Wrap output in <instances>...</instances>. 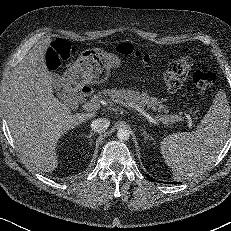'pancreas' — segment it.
I'll use <instances>...</instances> for the list:
<instances>
[{"mask_svg":"<svg viewBox=\"0 0 231 231\" xmlns=\"http://www.w3.org/2000/svg\"><path fill=\"white\" fill-rule=\"evenodd\" d=\"M98 98H104L107 101H113L125 107H139L142 110L147 108L166 112V106L157 98L150 97L147 93H140L139 91L131 89H103L98 92ZM172 117L171 115L158 116V118L166 119L167 122H170Z\"/></svg>","mask_w":231,"mask_h":231,"instance_id":"1","label":"pancreas"}]
</instances>
